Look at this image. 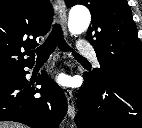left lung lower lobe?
<instances>
[{
	"mask_svg": "<svg viewBox=\"0 0 142 128\" xmlns=\"http://www.w3.org/2000/svg\"><path fill=\"white\" fill-rule=\"evenodd\" d=\"M78 93V128H142V80L85 72Z\"/></svg>",
	"mask_w": 142,
	"mask_h": 128,
	"instance_id": "0a47b994",
	"label": "left lung lower lobe"
}]
</instances>
